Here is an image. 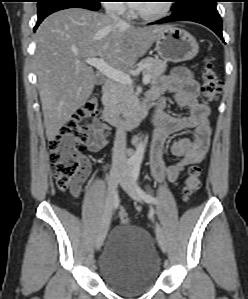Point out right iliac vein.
<instances>
[{"instance_id":"63e3f726","label":"right iliac vein","mask_w":248,"mask_h":299,"mask_svg":"<svg viewBox=\"0 0 248 299\" xmlns=\"http://www.w3.org/2000/svg\"><path fill=\"white\" fill-rule=\"evenodd\" d=\"M122 168L120 165H113L110 171L109 182H108V191L106 196V203L104 208V213L102 220L98 229L97 238H96V249L99 250L103 245L105 237L107 235L110 220L112 216L113 206L116 200L117 195V184L120 180Z\"/></svg>"}]
</instances>
